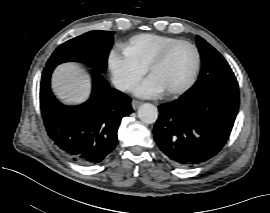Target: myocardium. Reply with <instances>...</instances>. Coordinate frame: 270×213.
Masks as SVG:
<instances>
[{
    "instance_id": "f54148a6",
    "label": "myocardium",
    "mask_w": 270,
    "mask_h": 213,
    "mask_svg": "<svg viewBox=\"0 0 270 213\" xmlns=\"http://www.w3.org/2000/svg\"><path fill=\"white\" fill-rule=\"evenodd\" d=\"M180 45H188L194 50L195 55H196V64H195V67H194V70L192 72L190 79L182 87H180L178 89L166 91L164 93L168 97L182 95L185 92H187L188 90H190L193 87V85L195 84L197 76H198V72L200 69V64H201V57H200V52H199L198 48L196 47L195 44H193L190 41L179 40V41L171 44L167 48H165L163 51H161L148 65V73H149V75H151L152 72L154 71V69L165 60V58L168 56V54L173 49H175L176 47H178Z\"/></svg>"
}]
</instances>
